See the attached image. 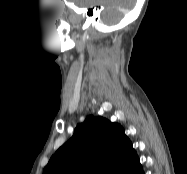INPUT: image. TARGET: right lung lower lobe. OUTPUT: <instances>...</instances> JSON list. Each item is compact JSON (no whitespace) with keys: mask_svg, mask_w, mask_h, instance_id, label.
<instances>
[{"mask_svg":"<svg viewBox=\"0 0 187 174\" xmlns=\"http://www.w3.org/2000/svg\"><path fill=\"white\" fill-rule=\"evenodd\" d=\"M135 174H144V172L142 171V168H141V170L136 172Z\"/></svg>","mask_w":187,"mask_h":174,"instance_id":"right-lung-lower-lobe-1","label":"right lung lower lobe"}]
</instances>
